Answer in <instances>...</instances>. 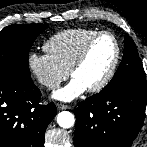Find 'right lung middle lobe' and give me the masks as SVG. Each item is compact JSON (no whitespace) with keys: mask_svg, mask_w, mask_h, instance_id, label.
<instances>
[{"mask_svg":"<svg viewBox=\"0 0 147 147\" xmlns=\"http://www.w3.org/2000/svg\"><path fill=\"white\" fill-rule=\"evenodd\" d=\"M47 24H21L0 31V75L31 81L28 54L37 36Z\"/></svg>","mask_w":147,"mask_h":147,"instance_id":"1","label":"right lung middle lobe"}]
</instances>
